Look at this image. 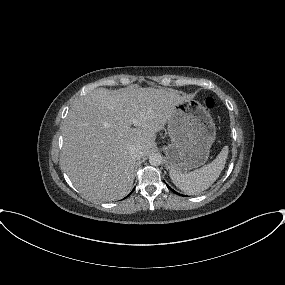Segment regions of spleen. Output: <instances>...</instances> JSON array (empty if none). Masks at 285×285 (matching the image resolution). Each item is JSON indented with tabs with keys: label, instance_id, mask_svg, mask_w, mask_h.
Masks as SVG:
<instances>
[{
	"label": "spleen",
	"instance_id": "obj_1",
	"mask_svg": "<svg viewBox=\"0 0 285 285\" xmlns=\"http://www.w3.org/2000/svg\"><path fill=\"white\" fill-rule=\"evenodd\" d=\"M228 146H224L216 159L200 169L189 173L170 170L169 175L177 188L188 195L208 189L220 176L228 157Z\"/></svg>",
	"mask_w": 285,
	"mask_h": 285
}]
</instances>
